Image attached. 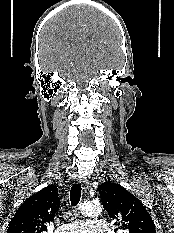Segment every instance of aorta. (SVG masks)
I'll return each mask as SVG.
<instances>
[{
  "instance_id": "aorta-1",
  "label": "aorta",
  "mask_w": 174,
  "mask_h": 233,
  "mask_svg": "<svg viewBox=\"0 0 174 233\" xmlns=\"http://www.w3.org/2000/svg\"><path fill=\"white\" fill-rule=\"evenodd\" d=\"M80 211L85 216L98 217L101 214L102 209L99 204L87 202L80 205Z\"/></svg>"
}]
</instances>
